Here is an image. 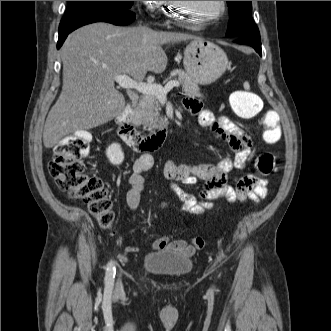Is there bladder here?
Wrapping results in <instances>:
<instances>
[{
	"instance_id": "obj_1",
	"label": "bladder",
	"mask_w": 331,
	"mask_h": 331,
	"mask_svg": "<svg viewBox=\"0 0 331 331\" xmlns=\"http://www.w3.org/2000/svg\"><path fill=\"white\" fill-rule=\"evenodd\" d=\"M192 265L190 256L170 249L148 252L142 260L144 270L165 278L185 276L191 272Z\"/></svg>"
}]
</instances>
